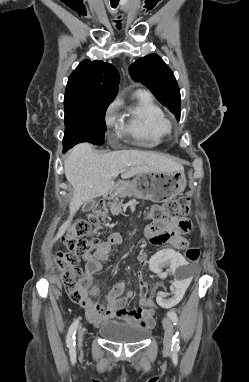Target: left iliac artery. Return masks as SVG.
Segmentation results:
<instances>
[{
	"mask_svg": "<svg viewBox=\"0 0 249 382\" xmlns=\"http://www.w3.org/2000/svg\"><path fill=\"white\" fill-rule=\"evenodd\" d=\"M167 316L172 320L174 325H178V316L174 311H169L167 313ZM172 348L174 350H179L180 348V339H179L178 332H176V334L172 338Z\"/></svg>",
	"mask_w": 249,
	"mask_h": 382,
	"instance_id": "44dca946",
	"label": "left iliac artery"
}]
</instances>
